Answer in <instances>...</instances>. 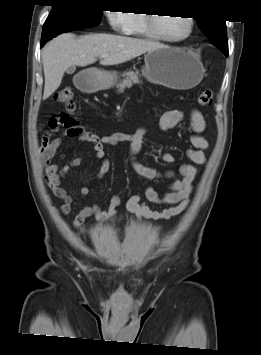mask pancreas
I'll return each mask as SVG.
<instances>
[{"label":"pancreas","instance_id":"pancreas-1","mask_svg":"<svg viewBox=\"0 0 261 355\" xmlns=\"http://www.w3.org/2000/svg\"><path fill=\"white\" fill-rule=\"evenodd\" d=\"M138 74V71H127L123 73L122 76L124 79L117 84L118 92L122 93L126 87H131L133 84L140 83Z\"/></svg>","mask_w":261,"mask_h":355}]
</instances>
